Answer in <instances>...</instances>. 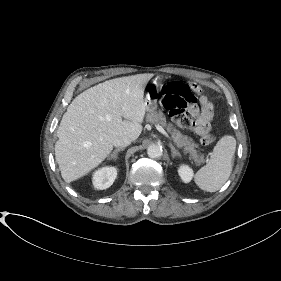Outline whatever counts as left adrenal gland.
Returning <instances> with one entry per match:
<instances>
[{
	"label": "left adrenal gland",
	"instance_id": "1",
	"mask_svg": "<svg viewBox=\"0 0 281 281\" xmlns=\"http://www.w3.org/2000/svg\"><path fill=\"white\" fill-rule=\"evenodd\" d=\"M169 146L171 148L172 158H175L176 156L181 157V154L178 152V150L171 143H169Z\"/></svg>",
	"mask_w": 281,
	"mask_h": 281
}]
</instances>
